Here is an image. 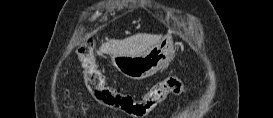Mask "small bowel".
I'll list each match as a JSON object with an SVG mask.
<instances>
[{
  "mask_svg": "<svg viewBox=\"0 0 273 118\" xmlns=\"http://www.w3.org/2000/svg\"><path fill=\"white\" fill-rule=\"evenodd\" d=\"M78 105H79L80 109L83 111H86L88 109V106L86 103H79Z\"/></svg>",
  "mask_w": 273,
  "mask_h": 118,
  "instance_id": "small-bowel-1",
  "label": "small bowel"
}]
</instances>
